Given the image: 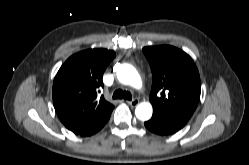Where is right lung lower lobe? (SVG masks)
Here are the masks:
<instances>
[{
	"mask_svg": "<svg viewBox=\"0 0 249 165\" xmlns=\"http://www.w3.org/2000/svg\"><path fill=\"white\" fill-rule=\"evenodd\" d=\"M109 120V118L108 119H106L104 122H102L100 125H98L97 127H95L94 129H91V130H89V131H87V132H84V133H81V134H79V135H81V136H90V135H92V134H95L96 132H98L99 130H101L102 128H103V126L107 123V121Z\"/></svg>",
	"mask_w": 249,
	"mask_h": 165,
	"instance_id": "98d812e1",
	"label": "right lung lower lobe"
}]
</instances>
